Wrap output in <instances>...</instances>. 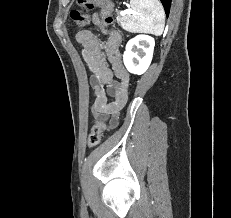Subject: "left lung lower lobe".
<instances>
[{
    "mask_svg": "<svg viewBox=\"0 0 231 218\" xmlns=\"http://www.w3.org/2000/svg\"><path fill=\"white\" fill-rule=\"evenodd\" d=\"M164 6L166 15L168 17L169 11H170V6H171V0H160Z\"/></svg>",
    "mask_w": 231,
    "mask_h": 218,
    "instance_id": "0a47b994",
    "label": "left lung lower lobe"
}]
</instances>
